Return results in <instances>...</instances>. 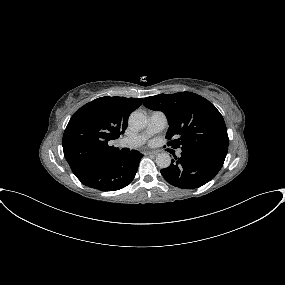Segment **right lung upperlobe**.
Segmentation results:
<instances>
[{"label": "right lung upper lobe", "mask_w": 285, "mask_h": 285, "mask_svg": "<svg viewBox=\"0 0 285 285\" xmlns=\"http://www.w3.org/2000/svg\"><path fill=\"white\" fill-rule=\"evenodd\" d=\"M143 99L100 97L81 107L70 119L63 135L64 156L76 173L83 167L119 152L109 146L128 126V116Z\"/></svg>", "instance_id": "cb5924a9"}]
</instances>
